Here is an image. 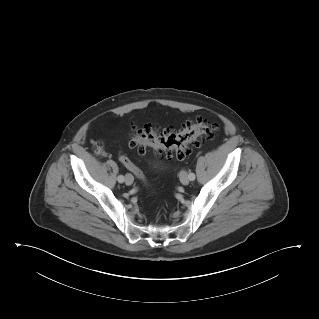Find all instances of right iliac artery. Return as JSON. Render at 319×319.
I'll return each mask as SVG.
<instances>
[{
    "label": "right iliac artery",
    "instance_id": "1",
    "mask_svg": "<svg viewBox=\"0 0 319 319\" xmlns=\"http://www.w3.org/2000/svg\"><path fill=\"white\" fill-rule=\"evenodd\" d=\"M117 179H118V182H119V183H123L124 180H125V179H124V176H122V175H119Z\"/></svg>",
    "mask_w": 319,
    "mask_h": 319
}]
</instances>
